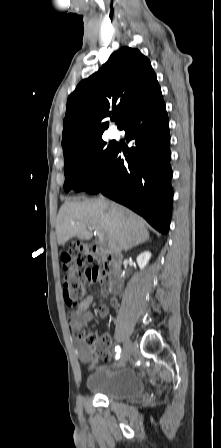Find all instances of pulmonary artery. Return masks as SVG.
Here are the masks:
<instances>
[{"label":"pulmonary artery","instance_id":"pulmonary-artery-1","mask_svg":"<svg viewBox=\"0 0 221 448\" xmlns=\"http://www.w3.org/2000/svg\"><path fill=\"white\" fill-rule=\"evenodd\" d=\"M116 136H117L116 130L115 129H110L109 137L113 139V138H116Z\"/></svg>","mask_w":221,"mask_h":448}]
</instances>
